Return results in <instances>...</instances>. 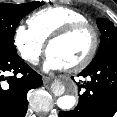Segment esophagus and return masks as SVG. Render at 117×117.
I'll return each mask as SVG.
<instances>
[{"label":"esophagus","mask_w":117,"mask_h":117,"mask_svg":"<svg viewBox=\"0 0 117 117\" xmlns=\"http://www.w3.org/2000/svg\"><path fill=\"white\" fill-rule=\"evenodd\" d=\"M43 83L44 84H48L50 81H51V78L50 77H48V76H43Z\"/></svg>","instance_id":"34e87169"}]
</instances>
